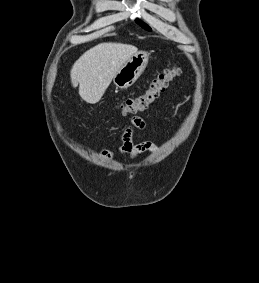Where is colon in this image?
<instances>
[{"label": "colon", "mask_w": 259, "mask_h": 283, "mask_svg": "<svg viewBox=\"0 0 259 283\" xmlns=\"http://www.w3.org/2000/svg\"><path fill=\"white\" fill-rule=\"evenodd\" d=\"M180 73L181 68L177 65L165 69L153 79L144 94L123 100L118 105L119 109L123 114H134L144 111L166 90L169 83Z\"/></svg>", "instance_id": "colon-1"}]
</instances>
